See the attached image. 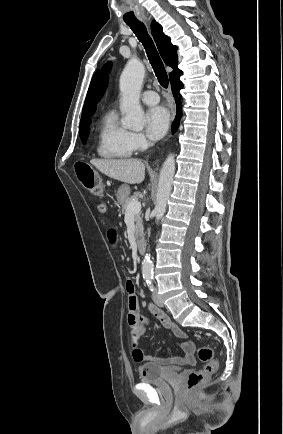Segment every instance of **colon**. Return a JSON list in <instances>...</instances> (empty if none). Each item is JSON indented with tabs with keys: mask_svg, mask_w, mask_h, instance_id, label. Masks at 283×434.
<instances>
[{
	"mask_svg": "<svg viewBox=\"0 0 283 434\" xmlns=\"http://www.w3.org/2000/svg\"><path fill=\"white\" fill-rule=\"evenodd\" d=\"M75 171L78 181L94 195H103L104 188L100 177L94 169L86 163H77ZM199 359L205 362L201 370L191 372L187 377V387L195 390L203 386L218 369V362L213 358V351L210 347H202L198 352Z\"/></svg>",
	"mask_w": 283,
	"mask_h": 434,
	"instance_id": "5ec220e1",
	"label": "colon"
}]
</instances>
